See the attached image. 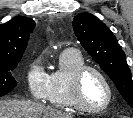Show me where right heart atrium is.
Here are the masks:
<instances>
[{"mask_svg": "<svg viewBox=\"0 0 133 118\" xmlns=\"http://www.w3.org/2000/svg\"><path fill=\"white\" fill-rule=\"evenodd\" d=\"M27 87L31 97L36 101H44L48 93V74L40 60H33L26 71Z\"/></svg>", "mask_w": 133, "mask_h": 118, "instance_id": "d8ad5b80", "label": "right heart atrium"}]
</instances>
